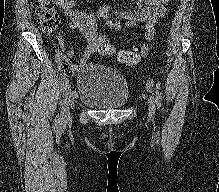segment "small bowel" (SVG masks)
<instances>
[{
  "label": "small bowel",
  "instance_id": "obj_1",
  "mask_svg": "<svg viewBox=\"0 0 219 192\" xmlns=\"http://www.w3.org/2000/svg\"><path fill=\"white\" fill-rule=\"evenodd\" d=\"M137 9L134 11H116L110 6H102L96 14L75 10L74 0H52L53 4L63 11L68 18L69 29L78 30L86 39L87 46L81 64L87 62L96 51V44L104 39L98 33V20H103L108 30H119L122 26L128 28L142 27L144 44L140 49L134 50L142 56H147L149 43L155 35L157 21L168 13L170 0H134ZM63 46V43L61 42ZM68 57L75 55L74 51L67 52Z\"/></svg>",
  "mask_w": 219,
  "mask_h": 192
}]
</instances>
